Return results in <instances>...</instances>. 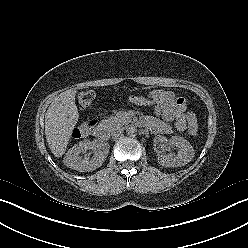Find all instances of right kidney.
Returning a JSON list of instances; mask_svg holds the SVG:
<instances>
[{
	"label": "right kidney",
	"mask_w": 248,
	"mask_h": 248,
	"mask_svg": "<svg viewBox=\"0 0 248 248\" xmlns=\"http://www.w3.org/2000/svg\"><path fill=\"white\" fill-rule=\"evenodd\" d=\"M109 144L101 143L98 140H84L68 150L64 157V164L79 172L93 171L100 167L106 160L109 153ZM93 151V157L83 155L87 150Z\"/></svg>",
	"instance_id": "1"
}]
</instances>
